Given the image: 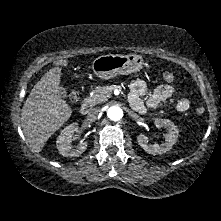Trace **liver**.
<instances>
[{
    "mask_svg": "<svg viewBox=\"0 0 221 221\" xmlns=\"http://www.w3.org/2000/svg\"><path fill=\"white\" fill-rule=\"evenodd\" d=\"M61 68L46 72L31 90L21 111V126L33 152L39 153L48 139L72 114L59 95Z\"/></svg>",
    "mask_w": 221,
    "mask_h": 221,
    "instance_id": "obj_1",
    "label": "liver"
}]
</instances>
